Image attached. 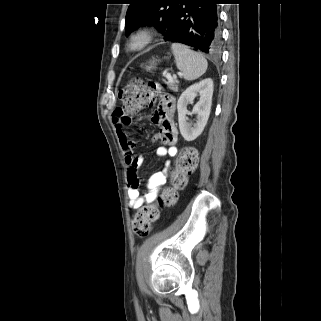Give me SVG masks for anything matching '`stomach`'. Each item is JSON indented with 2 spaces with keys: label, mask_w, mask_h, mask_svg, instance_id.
<instances>
[{
  "label": "stomach",
  "mask_w": 321,
  "mask_h": 321,
  "mask_svg": "<svg viewBox=\"0 0 321 321\" xmlns=\"http://www.w3.org/2000/svg\"><path fill=\"white\" fill-rule=\"evenodd\" d=\"M156 65H157V60L152 59L146 64L145 69H146V71L150 72L153 69H155Z\"/></svg>",
  "instance_id": "stomach-1"
}]
</instances>
